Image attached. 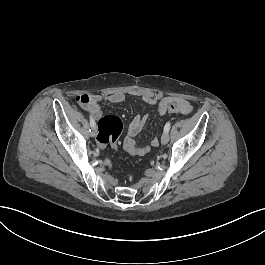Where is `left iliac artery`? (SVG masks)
I'll list each match as a JSON object with an SVG mask.
<instances>
[{"label":"left iliac artery","mask_w":265,"mask_h":265,"mask_svg":"<svg viewBox=\"0 0 265 265\" xmlns=\"http://www.w3.org/2000/svg\"><path fill=\"white\" fill-rule=\"evenodd\" d=\"M170 127H171V122L168 121V122L165 124V126H164V132H169Z\"/></svg>","instance_id":"1"}]
</instances>
